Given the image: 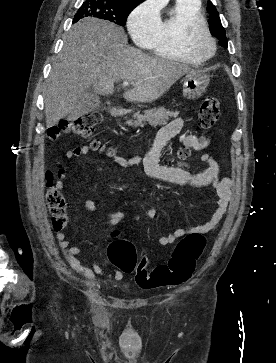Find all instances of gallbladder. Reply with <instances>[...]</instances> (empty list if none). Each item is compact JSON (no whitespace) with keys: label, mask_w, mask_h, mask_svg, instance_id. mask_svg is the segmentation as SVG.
<instances>
[{"label":"gallbladder","mask_w":276,"mask_h":363,"mask_svg":"<svg viewBox=\"0 0 276 363\" xmlns=\"http://www.w3.org/2000/svg\"><path fill=\"white\" fill-rule=\"evenodd\" d=\"M100 106V98L91 89L87 90L79 100L77 107L68 115L70 120L86 115Z\"/></svg>","instance_id":"1"}]
</instances>
